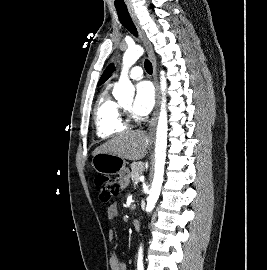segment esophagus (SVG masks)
I'll return each instance as SVG.
<instances>
[{
  "label": "esophagus",
  "instance_id": "1",
  "mask_svg": "<svg viewBox=\"0 0 267 270\" xmlns=\"http://www.w3.org/2000/svg\"><path fill=\"white\" fill-rule=\"evenodd\" d=\"M128 11L143 41V44L146 48L147 54L151 60L152 67H153V80H154L155 90H156V105H155L153 116L149 122V132H148V137L153 138L155 136L156 124H157V119H158V110H159V85H158V78H157L156 58L153 51V47L150 41L148 40L144 30L142 29L133 8H128Z\"/></svg>",
  "mask_w": 267,
  "mask_h": 270
}]
</instances>
